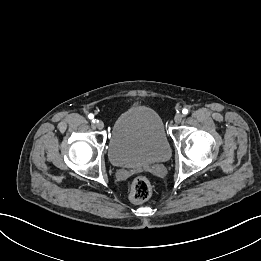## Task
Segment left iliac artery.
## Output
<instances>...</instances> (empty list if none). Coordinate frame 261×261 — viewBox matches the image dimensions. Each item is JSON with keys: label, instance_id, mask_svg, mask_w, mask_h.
I'll use <instances>...</instances> for the list:
<instances>
[{"label": "left iliac artery", "instance_id": "left-iliac-artery-1", "mask_svg": "<svg viewBox=\"0 0 261 261\" xmlns=\"http://www.w3.org/2000/svg\"><path fill=\"white\" fill-rule=\"evenodd\" d=\"M182 113H183L184 115L188 114V109L184 108V109L182 110Z\"/></svg>", "mask_w": 261, "mask_h": 261}]
</instances>
